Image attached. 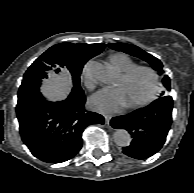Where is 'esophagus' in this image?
I'll return each mask as SVG.
<instances>
[{
	"instance_id": "obj_1",
	"label": "esophagus",
	"mask_w": 194,
	"mask_h": 193,
	"mask_svg": "<svg viewBox=\"0 0 194 193\" xmlns=\"http://www.w3.org/2000/svg\"><path fill=\"white\" fill-rule=\"evenodd\" d=\"M104 118H105V123H106L107 125H109L112 116H110V115H105Z\"/></svg>"
}]
</instances>
